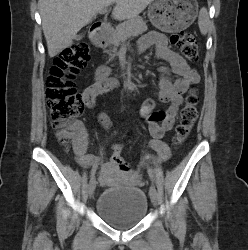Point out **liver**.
<instances>
[{
	"mask_svg": "<svg viewBox=\"0 0 248 250\" xmlns=\"http://www.w3.org/2000/svg\"><path fill=\"white\" fill-rule=\"evenodd\" d=\"M153 0H40L42 29L52 58L73 43L76 34L89 24L101 9L115 4L113 17H137Z\"/></svg>",
	"mask_w": 248,
	"mask_h": 250,
	"instance_id": "1",
	"label": "liver"
}]
</instances>
